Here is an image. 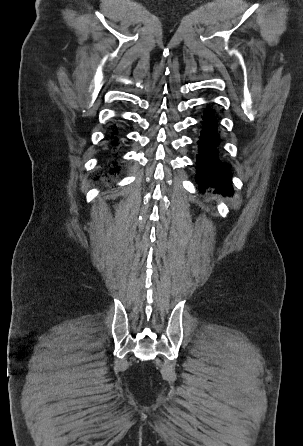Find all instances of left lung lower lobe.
Instances as JSON below:
<instances>
[{"instance_id": "left-lung-lower-lobe-1", "label": "left lung lower lobe", "mask_w": 303, "mask_h": 446, "mask_svg": "<svg viewBox=\"0 0 303 446\" xmlns=\"http://www.w3.org/2000/svg\"><path fill=\"white\" fill-rule=\"evenodd\" d=\"M203 117L204 128L200 135L199 153L197 154L196 182L200 192L208 188H215L214 192L221 194H233L231 174L227 164H222L218 159V143L220 141L217 132L216 118L210 107L206 108Z\"/></svg>"}]
</instances>
